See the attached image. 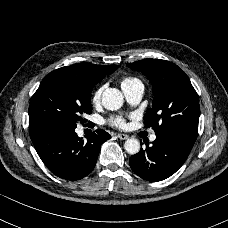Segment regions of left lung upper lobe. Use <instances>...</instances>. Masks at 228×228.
<instances>
[{
	"mask_svg": "<svg viewBox=\"0 0 228 228\" xmlns=\"http://www.w3.org/2000/svg\"><path fill=\"white\" fill-rule=\"evenodd\" d=\"M149 78L153 87L152 108L144 116L146 127L156 135H176L196 140L199 99L188 76L176 64L158 59L127 63Z\"/></svg>",
	"mask_w": 228,
	"mask_h": 228,
	"instance_id": "5c2ea615",
	"label": "left lung upper lobe"
}]
</instances>
